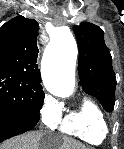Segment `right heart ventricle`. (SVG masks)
I'll return each mask as SVG.
<instances>
[{
	"mask_svg": "<svg viewBox=\"0 0 124 149\" xmlns=\"http://www.w3.org/2000/svg\"><path fill=\"white\" fill-rule=\"evenodd\" d=\"M63 134L100 145L108 135V122L102 109L92 100L85 99L80 107L65 115L58 124Z\"/></svg>",
	"mask_w": 124,
	"mask_h": 149,
	"instance_id": "1",
	"label": "right heart ventricle"
}]
</instances>
